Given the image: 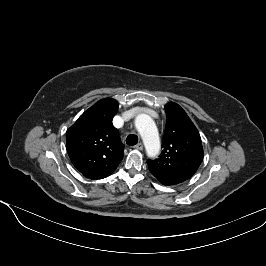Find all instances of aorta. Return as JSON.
<instances>
[{
  "mask_svg": "<svg viewBox=\"0 0 266 266\" xmlns=\"http://www.w3.org/2000/svg\"><path fill=\"white\" fill-rule=\"evenodd\" d=\"M135 126L144 142L149 157H155L160 150V141L156 125L147 114H139L135 118Z\"/></svg>",
  "mask_w": 266,
  "mask_h": 266,
  "instance_id": "aorta-1",
  "label": "aorta"
}]
</instances>
